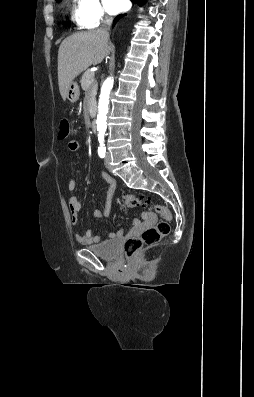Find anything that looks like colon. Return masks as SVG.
<instances>
[{"mask_svg": "<svg viewBox=\"0 0 254 397\" xmlns=\"http://www.w3.org/2000/svg\"><path fill=\"white\" fill-rule=\"evenodd\" d=\"M70 135V125L65 119L59 123V139H66ZM120 203L123 209L139 208L148 204V201L143 196H137L134 194H123L120 199ZM153 209L157 212L164 220L158 222L155 226L150 227L142 232L140 236H133L126 240L124 245V252L126 256H132L143 246L154 245L159 242L162 238L170 233L171 212L163 205H154Z\"/></svg>", "mask_w": 254, "mask_h": 397, "instance_id": "1", "label": "colon"}]
</instances>
